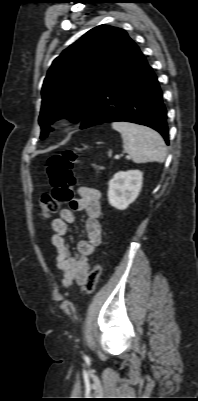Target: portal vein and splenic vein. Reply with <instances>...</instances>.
<instances>
[{
  "mask_svg": "<svg viewBox=\"0 0 198 401\" xmlns=\"http://www.w3.org/2000/svg\"><path fill=\"white\" fill-rule=\"evenodd\" d=\"M115 159H119L120 158V156L119 155H115V157H114ZM129 158V157H128Z\"/></svg>",
  "mask_w": 198,
  "mask_h": 401,
  "instance_id": "18ae733b",
  "label": "portal vein and splenic vein"
}]
</instances>
